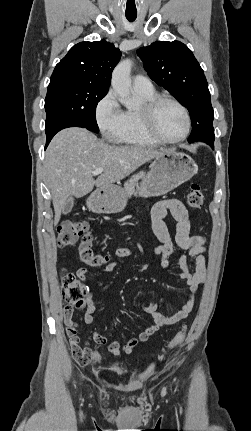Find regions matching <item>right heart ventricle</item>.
I'll list each match as a JSON object with an SVG mask.
<instances>
[{
    "label": "right heart ventricle",
    "mask_w": 251,
    "mask_h": 431,
    "mask_svg": "<svg viewBox=\"0 0 251 431\" xmlns=\"http://www.w3.org/2000/svg\"><path fill=\"white\" fill-rule=\"evenodd\" d=\"M136 92L145 101L156 96L154 90L151 92ZM115 140L122 144L140 147H155L158 145V143L145 132L140 117V110L125 111L123 127Z\"/></svg>",
    "instance_id": "obj_1"
}]
</instances>
